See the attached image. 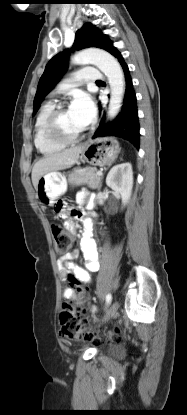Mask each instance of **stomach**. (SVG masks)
<instances>
[{
  "mask_svg": "<svg viewBox=\"0 0 187 415\" xmlns=\"http://www.w3.org/2000/svg\"><path fill=\"white\" fill-rule=\"evenodd\" d=\"M120 151L118 141L112 137L97 138L83 145L81 158L94 166L110 165ZM36 198L42 208H47L67 190L64 174L54 171L42 176L37 183Z\"/></svg>",
  "mask_w": 187,
  "mask_h": 415,
  "instance_id": "stomach-1",
  "label": "stomach"
}]
</instances>
